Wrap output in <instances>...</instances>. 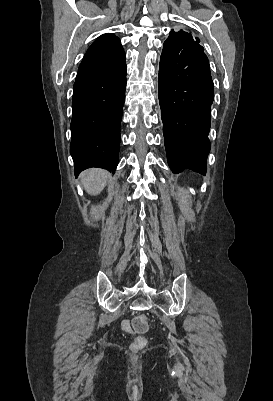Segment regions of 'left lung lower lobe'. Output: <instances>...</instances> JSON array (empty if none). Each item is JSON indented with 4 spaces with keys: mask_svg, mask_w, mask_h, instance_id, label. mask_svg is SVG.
<instances>
[{
    "mask_svg": "<svg viewBox=\"0 0 273 401\" xmlns=\"http://www.w3.org/2000/svg\"><path fill=\"white\" fill-rule=\"evenodd\" d=\"M158 96L169 167L173 173L191 169L205 175L214 91L208 58L199 42L165 41Z\"/></svg>",
    "mask_w": 273,
    "mask_h": 401,
    "instance_id": "1",
    "label": "left lung lower lobe"
}]
</instances>
